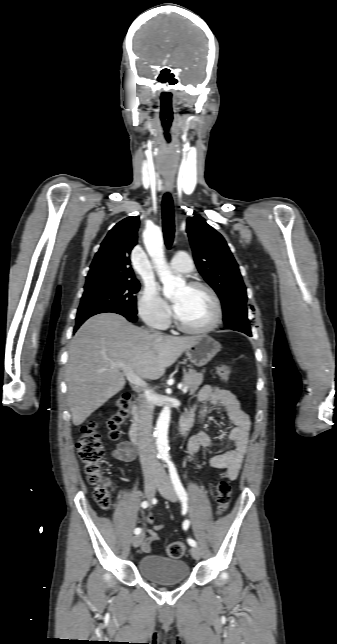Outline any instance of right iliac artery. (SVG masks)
Wrapping results in <instances>:
<instances>
[{"label":"right iliac artery","mask_w":337,"mask_h":644,"mask_svg":"<svg viewBox=\"0 0 337 644\" xmlns=\"http://www.w3.org/2000/svg\"><path fill=\"white\" fill-rule=\"evenodd\" d=\"M141 506H142L143 508H147V507H148V502H147V501H143V502L141 503ZM140 532H141V529H140V528H136V529L134 530V533H135L136 535H138Z\"/></svg>","instance_id":"82829eb1"}]
</instances>
